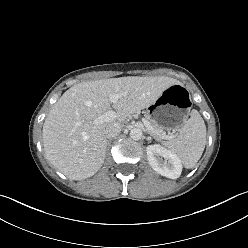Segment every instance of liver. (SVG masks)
<instances>
[{"label":"liver","mask_w":248,"mask_h":248,"mask_svg":"<svg viewBox=\"0 0 248 248\" xmlns=\"http://www.w3.org/2000/svg\"><path fill=\"white\" fill-rule=\"evenodd\" d=\"M180 84L166 76H127L81 82L72 86L53 105L43 130L47 159L72 180L93 176L106 157L105 130L122 124L133 113L153 104L170 86ZM119 94L116 103L109 96ZM112 107L116 118L96 123Z\"/></svg>","instance_id":"obj_1"}]
</instances>
